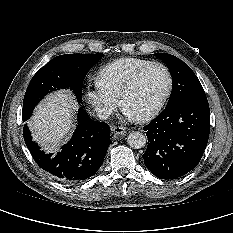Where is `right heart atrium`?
Wrapping results in <instances>:
<instances>
[{"label": "right heart atrium", "instance_id": "right-heart-atrium-1", "mask_svg": "<svg viewBox=\"0 0 233 233\" xmlns=\"http://www.w3.org/2000/svg\"><path fill=\"white\" fill-rule=\"evenodd\" d=\"M88 103L100 117L109 116L118 106V98L109 93L98 80H95L85 91Z\"/></svg>", "mask_w": 233, "mask_h": 233}]
</instances>
